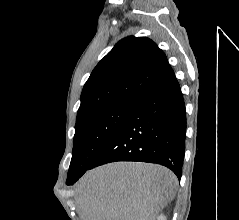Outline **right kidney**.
Wrapping results in <instances>:
<instances>
[{"instance_id": "right-kidney-1", "label": "right kidney", "mask_w": 239, "mask_h": 220, "mask_svg": "<svg viewBox=\"0 0 239 220\" xmlns=\"http://www.w3.org/2000/svg\"><path fill=\"white\" fill-rule=\"evenodd\" d=\"M157 220H166V217H164L163 215H160Z\"/></svg>"}]
</instances>
